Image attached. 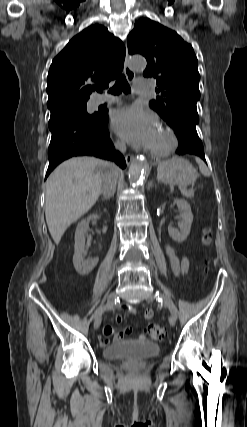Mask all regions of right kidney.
<instances>
[{
	"instance_id": "obj_1",
	"label": "right kidney",
	"mask_w": 247,
	"mask_h": 427,
	"mask_svg": "<svg viewBox=\"0 0 247 427\" xmlns=\"http://www.w3.org/2000/svg\"><path fill=\"white\" fill-rule=\"evenodd\" d=\"M97 218H99V216L93 214L83 219L76 228L73 264L80 275H88L98 263V258L85 260L83 257L85 250V235L89 230V222Z\"/></svg>"
}]
</instances>
